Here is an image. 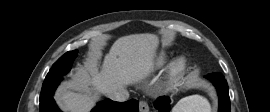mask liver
<instances>
[{"instance_id":"liver-1","label":"liver","mask_w":270,"mask_h":112,"mask_svg":"<svg viewBox=\"0 0 270 112\" xmlns=\"http://www.w3.org/2000/svg\"><path fill=\"white\" fill-rule=\"evenodd\" d=\"M158 45V36L150 33L118 38L104 56L101 70V53L94 52L85 68L59 88L56 100L67 112H89L100 95L108 96L145 79L154 68Z\"/></svg>"}]
</instances>
